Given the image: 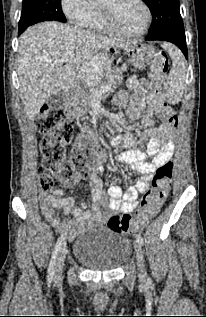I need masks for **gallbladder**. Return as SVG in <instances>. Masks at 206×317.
Listing matches in <instances>:
<instances>
[{
    "instance_id": "gallbladder-1",
    "label": "gallbladder",
    "mask_w": 206,
    "mask_h": 317,
    "mask_svg": "<svg viewBox=\"0 0 206 317\" xmlns=\"http://www.w3.org/2000/svg\"><path fill=\"white\" fill-rule=\"evenodd\" d=\"M46 103L51 109H60L65 103V95L63 92H57L51 95Z\"/></svg>"
}]
</instances>
